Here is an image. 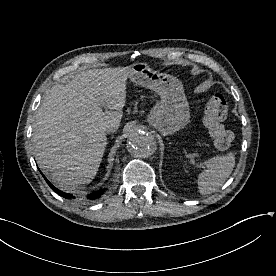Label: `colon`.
<instances>
[{
	"label": "colon",
	"instance_id": "1",
	"mask_svg": "<svg viewBox=\"0 0 276 276\" xmlns=\"http://www.w3.org/2000/svg\"><path fill=\"white\" fill-rule=\"evenodd\" d=\"M228 110V103L221 94L213 95L204 109L203 124L219 150L228 149L234 139L233 133L223 125Z\"/></svg>",
	"mask_w": 276,
	"mask_h": 276
}]
</instances>
